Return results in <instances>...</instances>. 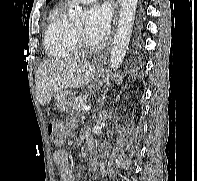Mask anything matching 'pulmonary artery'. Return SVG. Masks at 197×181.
Wrapping results in <instances>:
<instances>
[{
  "instance_id": "obj_1",
  "label": "pulmonary artery",
  "mask_w": 197,
  "mask_h": 181,
  "mask_svg": "<svg viewBox=\"0 0 197 181\" xmlns=\"http://www.w3.org/2000/svg\"><path fill=\"white\" fill-rule=\"evenodd\" d=\"M79 3H82V4H88V3H91L95 0H77Z\"/></svg>"
}]
</instances>
